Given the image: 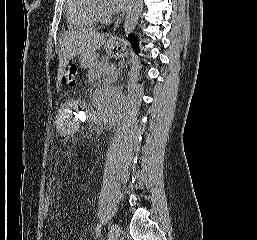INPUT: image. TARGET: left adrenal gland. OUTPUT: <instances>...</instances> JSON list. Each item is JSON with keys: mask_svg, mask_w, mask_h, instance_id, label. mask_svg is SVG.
<instances>
[{"mask_svg": "<svg viewBox=\"0 0 257 240\" xmlns=\"http://www.w3.org/2000/svg\"><path fill=\"white\" fill-rule=\"evenodd\" d=\"M123 67H124V66H121V68H119V69L114 73V75L112 76V81H115V80L118 79V76H120Z\"/></svg>", "mask_w": 257, "mask_h": 240, "instance_id": "a2214340", "label": "left adrenal gland"}]
</instances>
